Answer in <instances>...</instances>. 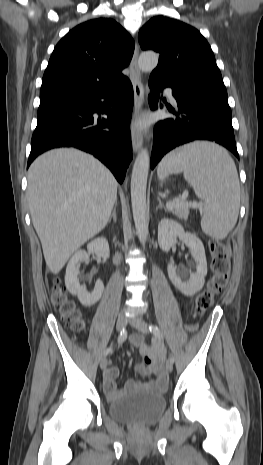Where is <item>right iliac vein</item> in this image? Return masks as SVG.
<instances>
[{
	"instance_id": "1",
	"label": "right iliac vein",
	"mask_w": 263,
	"mask_h": 465,
	"mask_svg": "<svg viewBox=\"0 0 263 465\" xmlns=\"http://www.w3.org/2000/svg\"><path fill=\"white\" fill-rule=\"evenodd\" d=\"M126 323H127V318L125 314L123 313L119 314L117 318V322H116V330L122 331L125 328ZM106 365H107V358L106 356H104L100 361V368L103 370L106 368Z\"/></svg>"
}]
</instances>
